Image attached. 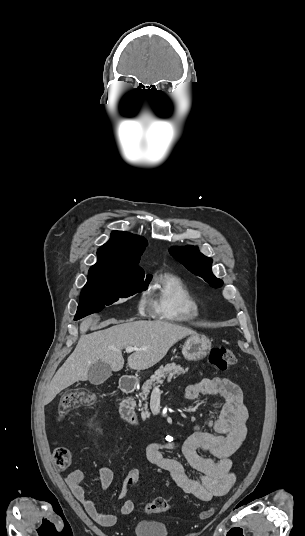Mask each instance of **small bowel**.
<instances>
[{"instance_id": "c3829d8e", "label": "small bowel", "mask_w": 305, "mask_h": 536, "mask_svg": "<svg viewBox=\"0 0 305 536\" xmlns=\"http://www.w3.org/2000/svg\"><path fill=\"white\" fill-rule=\"evenodd\" d=\"M201 395H214L224 400L220 415L207 420L204 426L196 424L186 439L166 436L162 440L149 443L145 449V456L151 464L166 472L185 493L208 502L214 497L226 495L235 483L236 478L231 470V456L246 438L248 411L243 403L241 389L227 378H203L186 388L184 399L194 401ZM164 451L180 453L200 476L192 478L180 461L165 456ZM199 451L206 452L214 458L200 455ZM83 478L81 470H73L67 474L66 483L72 494L99 526L104 528L114 526L117 517L98 509L83 486ZM99 480L102 489H108L113 482L112 470L107 466H101ZM126 481L124 479L118 495L119 499L123 500L120 509L122 515H128L135 509V502L126 498L128 492Z\"/></svg>"}]
</instances>
